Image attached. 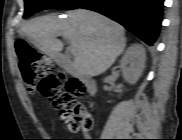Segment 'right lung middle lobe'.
<instances>
[{
	"label": "right lung middle lobe",
	"mask_w": 182,
	"mask_h": 140,
	"mask_svg": "<svg viewBox=\"0 0 182 140\" xmlns=\"http://www.w3.org/2000/svg\"><path fill=\"white\" fill-rule=\"evenodd\" d=\"M90 0H25L24 18L44 9L71 10L80 8Z\"/></svg>",
	"instance_id": "1"
}]
</instances>
